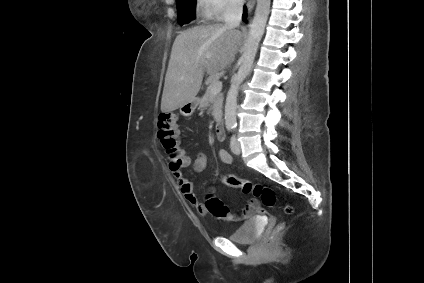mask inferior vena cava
Wrapping results in <instances>:
<instances>
[{
	"label": "inferior vena cava",
	"mask_w": 424,
	"mask_h": 283,
	"mask_svg": "<svg viewBox=\"0 0 424 283\" xmlns=\"http://www.w3.org/2000/svg\"><path fill=\"white\" fill-rule=\"evenodd\" d=\"M243 13L242 0H229L224 12L225 26L235 30L240 26Z\"/></svg>",
	"instance_id": "1"
}]
</instances>
